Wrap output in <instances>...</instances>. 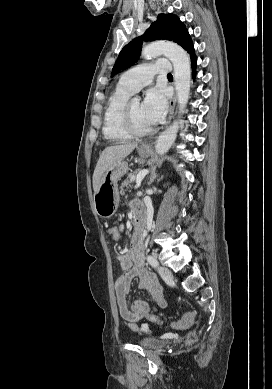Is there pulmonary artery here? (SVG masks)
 Instances as JSON below:
<instances>
[{"label": "pulmonary artery", "mask_w": 272, "mask_h": 389, "mask_svg": "<svg viewBox=\"0 0 272 389\" xmlns=\"http://www.w3.org/2000/svg\"><path fill=\"white\" fill-rule=\"evenodd\" d=\"M171 71V63L168 59L156 62L140 64L122 75L119 83L129 88L133 93L149 84L155 74H167Z\"/></svg>", "instance_id": "e3ab8cb5"}]
</instances>
